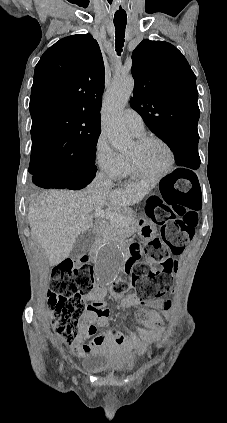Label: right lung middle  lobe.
<instances>
[{
	"label": "right lung middle lobe",
	"instance_id": "dd1d6c3e",
	"mask_svg": "<svg viewBox=\"0 0 227 423\" xmlns=\"http://www.w3.org/2000/svg\"><path fill=\"white\" fill-rule=\"evenodd\" d=\"M99 134L89 135L70 147L32 151L29 173L36 174L45 171L43 166L49 160L68 163L74 167V170L96 173L95 152Z\"/></svg>",
	"mask_w": 227,
	"mask_h": 423
}]
</instances>
